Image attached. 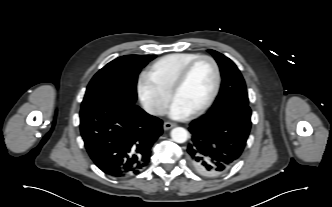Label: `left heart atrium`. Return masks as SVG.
<instances>
[{
    "label": "left heart atrium",
    "instance_id": "left-heart-atrium-1",
    "mask_svg": "<svg viewBox=\"0 0 332 207\" xmlns=\"http://www.w3.org/2000/svg\"><path fill=\"white\" fill-rule=\"evenodd\" d=\"M191 112H189L187 109H185L183 106H181L178 102L173 100L170 108H169V115L172 118L175 119H183L190 115Z\"/></svg>",
    "mask_w": 332,
    "mask_h": 207
}]
</instances>
